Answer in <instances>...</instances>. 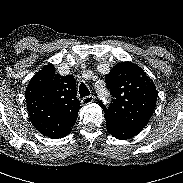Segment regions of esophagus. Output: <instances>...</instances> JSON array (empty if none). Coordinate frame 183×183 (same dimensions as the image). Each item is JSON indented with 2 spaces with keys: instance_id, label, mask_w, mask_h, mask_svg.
<instances>
[{
  "instance_id": "esophagus-1",
  "label": "esophagus",
  "mask_w": 183,
  "mask_h": 183,
  "mask_svg": "<svg viewBox=\"0 0 183 183\" xmlns=\"http://www.w3.org/2000/svg\"><path fill=\"white\" fill-rule=\"evenodd\" d=\"M94 101H95V96H93V95L85 96V97L82 98V103L83 104H90Z\"/></svg>"
}]
</instances>
